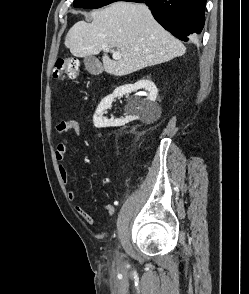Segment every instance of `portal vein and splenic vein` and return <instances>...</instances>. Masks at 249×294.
<instances>
[{"mask_svg": "<svg viewBox=\"0 0 249 294\" xmlns=\"http://www.w3.org/2000/svg\"><path fill=\"white\" fill-rule=\"evenodd\" d=\"M112 52H113V55H112L113 59H115V60L121 59V53H120V51H114V50H112Z\"/></svg>", "mask_w": 249, "mask_h": 294, "instance_id": "18ae733b", "label": "portal vein and splenic vein"}]
</instances>
